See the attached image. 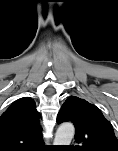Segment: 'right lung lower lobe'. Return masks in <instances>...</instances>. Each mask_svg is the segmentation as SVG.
I'll return each mask as SVG.
<instances>
[{"label": "right lung lower lobe", "instance_id": "98d812e1", "mask_svg": "<svg viewBox=\"0 0 118 151\" xmlns=\"http://www.w3.org/2000/svg\"><path fill=\"white\" fill-rule=\"evenodd\" d=\"M42 144H43V143H42ZM42 144L40 145V147H42V146H43ZM40 147H39V148H40Z\"/></svg>", "mask_w": 118, "mask_h": 151}]
</instances>
